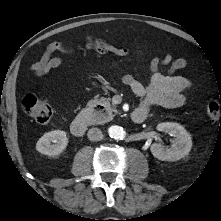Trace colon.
I'll return each mask as SVG.
<instances>
[{"label": "colon", "instance_id": "obj_1", "mask_svg": "<svg viewBox=\"0 0 221 221\" xmlns=\"http://www.w3.org/2000/svg\"><path fill=\"white\" fill-rule=\"evenodd\" d=\"M86 46L97 52H106L109 50L108 43L99 38H89ZM220 105L221 100L216 101L215 99H211L207 105V115L213 123H221ZM22 107L25 113L39 124H46L52 116L50 104L45 99L34 94H27L23 97Z\"/></svg>", "mask_w": 221, "mask_h": 221}]
</instances>
